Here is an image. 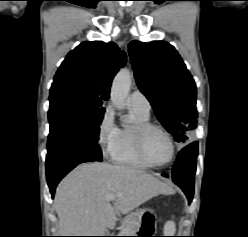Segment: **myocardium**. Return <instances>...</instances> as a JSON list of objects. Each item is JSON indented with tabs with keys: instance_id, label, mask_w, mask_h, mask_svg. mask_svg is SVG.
<instances>
[{
	"instance_id": "f54148a6",
	"label": "myocardium",
	"mask_w": 248,
	"mask_h": 237,
	"mask_svg": "<svg viewBox=\"0 0 248 237\" xmlns=\"http://www.w3.org/2000/svg\"><path fill=\"white\" fill-rule=\"evenodd\" d=\"M151 130L160 131L163 135H165V137L168 139V141L170 143V146H171L170 156H169L168 160L163 162V163H154V162H152L148 158V156H147V154L145 152V148H144L145 136ZM133 140H134V145H135L137 154L150 167L164 168L167 165H169L173 161V159L175 157V154H176L175 142H174L171 134L161 125L154 124V123H151V122H143V123L137 124L134 127V130H133Z\"/></svg>"
}]
</instances>
